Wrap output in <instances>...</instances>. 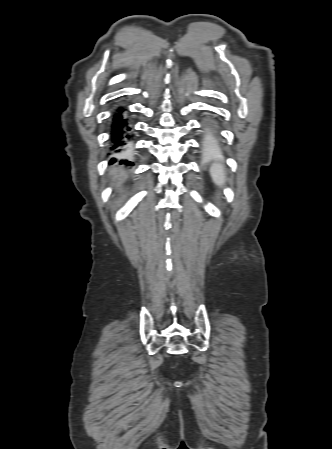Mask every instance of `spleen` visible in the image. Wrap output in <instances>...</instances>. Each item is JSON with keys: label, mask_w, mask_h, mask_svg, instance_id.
<instances>
[{"label": "spleen", "mask_w": 332, "mask_h": 449, "mask_svg": "<svg viewBox=\"0 0 332 449\" xmlns=\"http://www.w3.org/2000/svg\"><path fill=\"white\" fill-rule=\"evenodd\" d=\"M210 174L216 185L220 186L225 184L226 173L224 167L221 164L219 163L213 164L210 169Z\"/></svg>", "instance_id": "obj_1"}]
</instances>
